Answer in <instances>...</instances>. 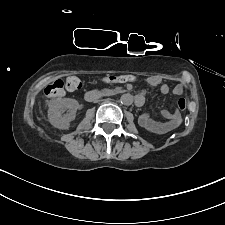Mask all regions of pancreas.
Listing matches in <instances>:
<instances>
[{
    "label": "pancreas",
    "mask_w": 225,
    "mask_h": 225,
    "mask_svg": "<svg viewBox=\"0 0 225 225\" xmlns=\"http://www.w3.org/2000/svg\"><path fill=\"white\" fill-rule=\"evenodd\" d=\"M106 93H109L110 92V90H104Z\"/></svg>",
    "instance_id": "pancreas-1"
}]
</instances>
